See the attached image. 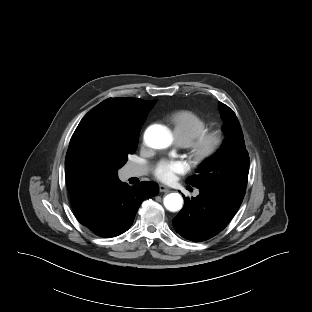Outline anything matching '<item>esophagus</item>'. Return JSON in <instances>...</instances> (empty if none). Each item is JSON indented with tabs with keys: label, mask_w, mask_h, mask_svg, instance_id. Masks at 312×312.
Here are the masks:
<instances>
[{
	"label": "esophagus",
	"mask_w": 312,
	"mask_h": 312,
	"mask_svg": "<svg viewBox=\"0 0 312 312\" xmlns=\"http://www.w3.org/2000/svg\"><path fill=\"white\" fill-rule=\"evenodd\" d=\"M159 190H160V192H169L170 191V189L167 187V186H165V185H159Z\"/></svg>",
	"instance_id": "1"
}]
</instances>
